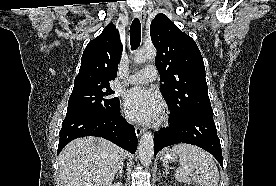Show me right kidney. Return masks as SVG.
I'll return each mask as SVG.
<instances>
[{
	"instance_id": "right-kidney-1",
	"label": "right kidney",
	"mask_w": 276,
	"mask_h": 186,
	"mask_svg": "<svg viewBox=\"0 0 276 186\" xmlns=\"http://www.w3.org/2000/svg\"><path fill=\"white\" fill-rule=\"evenodd\" d=\"M111 186H122V183H121V182H116V183H114V184L111 185Z\"/></svg>"
}]
</instances>
